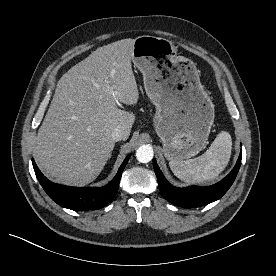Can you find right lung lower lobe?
Masks as SVG:
<instances>
[{
    "mask_svg": "<svg viewBox=\"0 0 276 276\" xmlns=\"http://www.w3.org/2000/svg\"><path fill=\"white\" fill-rule=\"evenodd\" d=\"M130 154L125 158L116 176L103 187H69L49 181L38 169L32 159L33 168L39 183L57 204L75 211L100 209L107 205L116 195L119 183Z\"/></svg>",
    "mask_w": 276,
    "mask_h": 276,
    "instance_id": "right-lung-lower-lobe-1",
    "label": "right lung lower lobe"
}]
</instances>
